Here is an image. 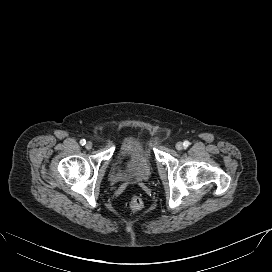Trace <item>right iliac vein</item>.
I'll use <instances>...</instances> for the list:
<instances>
[{
  "instance_id": "obj_1",
  "label": "right iliac vein",
  "mask_w": 272,
  "mask_h": 272,
  "mask_svg": "<svg viewBox=\"0 0 272 272\" xmlns=\"http://www.w3.org/2000/svg\"><path fill=\"white\" fill-rule=\"evenodd\" d=\"M85 147H86V149H88V150L92 149V147H93L92 142H90V141L87 142L86 145H85Z\"/></svg>"
}]
</instances>
